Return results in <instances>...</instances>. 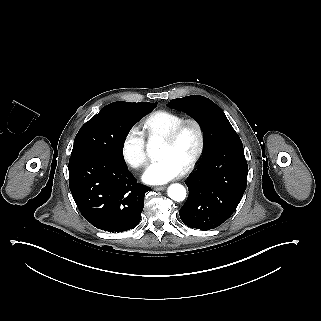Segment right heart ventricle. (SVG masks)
Instances as JSON below:
<instances>
[{"label":"right heart ventricle","instance_id":"e07e8e85","mask_svg":"<svg viewBox=\"0 0 321 321\" xmlns=\"http://www.w3.org/2000/svg\"><path fill=\"white\" fill-rule=\"evenodd\" d=\"M185 119V116L168 110H157L150 113L144 120V128L150 136H163L175 125Z\"/></svg>","mask_w":321,"mask_h":321}]
</instances>
